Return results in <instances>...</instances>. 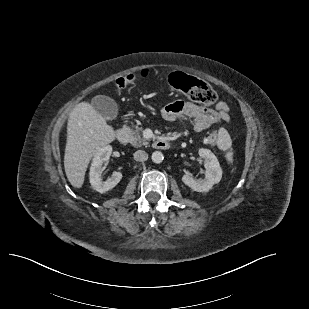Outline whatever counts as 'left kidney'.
Returning <instances> with one entry per match:
<instances>
[{
	"mask_svg": "<svg viewBox=\"0 0 309 309\" xmlns=\"http://www.w3.org/2000/svg\"><path fill=\"white\" fill-rule=\"evenodd\" d=\"M199 155L205 160V178L195 179L189 173L182 177L185 185L197 192H208L212 189L214 184L220 182L222 178V169L220 167L217 157L208 149H199Z\"/></svg>",
	"mask_w": 309,
	"mask_h": 309,
	"instance_id": "1",
	"label": "left kidney"
}]
</instances>
